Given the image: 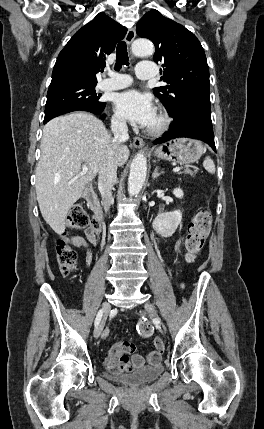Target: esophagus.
<instances>
[{"label":"esophagus","instance_id":"34e87169","mask_svg":"<svg viewBox=\"0 0 264 429\" xmlns=\"http://www.w3.org/2000/svg\"><path fill=\"white\" fill-rule=\"evenodd\" d=\"M135 36H136V31H135V29H134V28H130V29H128V31H127V33H126L125 40H126V43H127L129 46H130V45H131V43L133 42V40H134ZM132 144H133V146H134V147H137V148H141V147H144V146H145L144 141H143L141 138H139V137H134V138H133V141H132Z\"/></svg>","mask_w":264,"mask_h":429}]
</instances>
